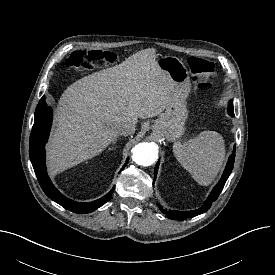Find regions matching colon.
<instances>
[{
	"label": "colon",
	"instance_id": "5ec220e1",
	"mask_svg": "<svg viewBox=\"0 0 275 275\" xmlns=\"http://www.w3.org/2000/svg\"><path fill=\"white\" fill-rule=\"evenodd\" d=\"M117 55L109 50H78L73 52L66 60L70 69L84 71L112 64ZM188 66L193 82L198 89L207 88L215 74V66L211 61L199 57H190Z\"/></svg>",
	"mask_w": 275,
	"mask_h": 275
}]
</instances>
